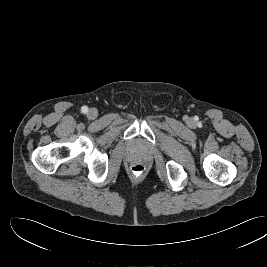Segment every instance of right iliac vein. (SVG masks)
<instances>
[{"label":"right iliac vein","mask_w":267,"mask_h":267,"mask_svg":"<svg viewBox=\"0 0 267 267\" xmlns=\"http://www.w3.org/2000/svg\"><path fill=\"white\" fill-rule=\"evenodd\" d=\"M97 115H98V112L95 108H91L87 113V117L91 120L95 119Z\"/></svg>","instance_id":"63e3f726"}]
</instances>
